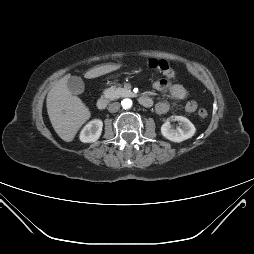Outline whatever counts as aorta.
Segmentation results:
<instances>
[{"label":"aorta","instance_id":"obj_1","mask_svg":"<svg viewBox=\"0 0 254 254\" xmlns=\"http://www.w3.org/2000/svg\"><path fill=\"white\" fill-rule=\"evenodd\" d=\"M122 107L124 108V109H128V108H131V106H132V100L131 99H124L122 102Z\"/></svg>","mask_w":254,"mask_h":254}]
</instances>
